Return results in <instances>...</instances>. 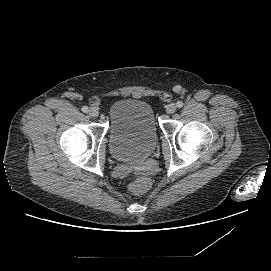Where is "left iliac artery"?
I'll return each instance as SVG.
<instances>
[{
  "label": "left iliac artery",
  "mask_w": 271,
  "mask_h": 271,
  "mask_svg": "<svg viewBox=\"0 0 271 271\" xmlns=\"http://www.w3.org/2000/svg\"><path fill=\"white\" fill-rule=\"evenodd\" d=\"M176 106H177L178 108H181V107L183 106V102L178 101V102L176 103Z\"/></svg>",
  "instance_id": "left-iliac-artery-1"
}]
</instances>
